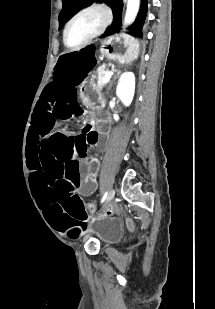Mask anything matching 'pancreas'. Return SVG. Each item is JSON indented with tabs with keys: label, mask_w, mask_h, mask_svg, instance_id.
<instances>
[{
	"label": "pancreas",
	"mask_w": 215,
	"mask_h": 309,
	"mask_svg": "<svg viewBox=\"0 0 215 309\" xmlns=\"http://www.w3.org/2000/svg\"><path fill=\"white\" fill-rule=\"evenodd\" d=\"M106 72H109V70H106V68H98V70H96L95 78L97 82H99V88H103V86L109 84V80H107V82H103V78Z\"/></svg>",
	"instance_id": "pancreas-1"
}]
</instances>
